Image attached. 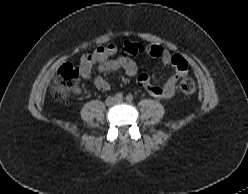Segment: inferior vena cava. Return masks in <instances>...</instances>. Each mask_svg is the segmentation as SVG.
<instances>
[{
	"label": "inferior vena cava",
	"instance_id": "obj_1",
	"mask_svg": "<svg viewBox=\"0 0 248 194\" xmlns=\"http://www.w3.org/2000/svg\"><path fill=\"white\" fill-rule=\"evenodd\" d=\"M111 99L114 100L113 98H108V99H107V103H110V100H111Z\"/></svg>",
	"mask_w": 248,
	"mask_h": 194
}]
</instances>
